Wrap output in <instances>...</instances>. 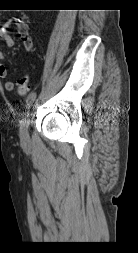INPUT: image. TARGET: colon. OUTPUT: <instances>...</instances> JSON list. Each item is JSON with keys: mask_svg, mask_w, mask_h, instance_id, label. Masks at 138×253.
<instances>
[{"mask_svg": "<svg viewBox=\"0 0 138 253\" xmlns=\"http://www.w3.org/2000/svg\"><path fill=\"white\" fill-rule=\"evenodd\" d=\"M31 90V79L29 75H24L18 82L17 92L20 96L26 95Z\"/></svg>", "mask_w": 138, "mask_h": 253, "instance_id": "5ec220e1", "label": "colon"}]
</instances>
